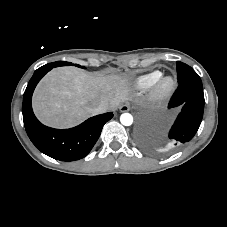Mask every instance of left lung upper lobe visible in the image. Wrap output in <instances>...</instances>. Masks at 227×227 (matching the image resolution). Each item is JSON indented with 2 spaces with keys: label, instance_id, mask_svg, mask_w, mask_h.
<instances>
[{
  "label": "left lung upper lobe",
  "instance_id": "1",
  "mask_svg": "<svg viewBox=\"0 0 227 227\" xmlns=\"http://www.w3.org/2000/svg\"><path fill=\"white\" fill-rule=\"evenodd\" d=\"M177 78L178 83H191L202 86V82L198 74L187 64L180 61L177 62Z\"/></svg>",
  "mask_w": 227,
  "mask_h": 227
}]
</instances>
